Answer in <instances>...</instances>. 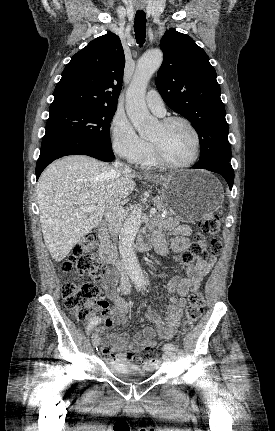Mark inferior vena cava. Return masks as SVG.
<instances>
[{"instance_id": "1", "label": "inferior vena cava", "mask_w": 275, "mask_h": 431, "mask_svg": "<svg viewBox=\"0 0 275 431\" xmlns=\"http://www.w3.org/2000/svg\"><path fill=\"white\" fill-rule=\"evenodd\" d=\"M114 168H115L117 173H120L122 170L126 171V172L131 171L129 166L124 165L123 163H121L118 160H116L114 162ZM121 210H122V207L120 205V199H115L110 203V205H109V207L105 213V219L108 222L109 231H110V234H111L114 241L116 240V238L118 236V232H119V229L121 226ZM113 265L120 272L122 290L130 291L131 284H130V281L128 278V274L126 273L124 266H123L122 262L118 259L117 255L113 261Z\"/></svg>"}]
</instances>
